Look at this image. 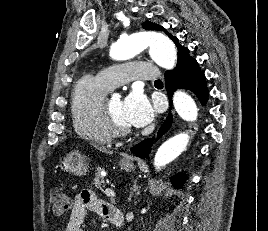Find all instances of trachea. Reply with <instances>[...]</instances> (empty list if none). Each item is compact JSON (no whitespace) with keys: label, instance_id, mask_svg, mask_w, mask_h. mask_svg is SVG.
Returning a JSON list of instances; mask_svg holds the SVG:
<instances>
[{"label":"trachea","instance_id":"1","mask_svg":"<svg viewBox=\"0 0 268 231\" xmlns=\"http://www.w3.org/2000/svg\"><path fill=\"white\" fill-rule=\"evenodd\" d=\"M155 82H162L161 80H156Z\"/></svg>","mask_w":268,"mask_h":231}]
</instances>
